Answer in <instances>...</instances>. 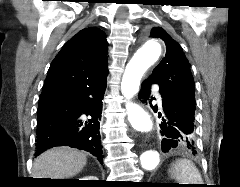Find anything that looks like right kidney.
Wrapping results in <instances>:
<instances>
[{"instance_id": "obj_1", "label": "right kidney", "mask_w": 240, "mask_h": 187, "mask_svg": "<svg viewBox=\"0 0 240 187\" xmlns=\"http://www.w3.org/2000/svg\"><path fill=\"white\" fill-rule=\"evenodd\" d=\"M79 180H98L95 176H87L85 178H80Z\"/></svg>"}]
</instances>
